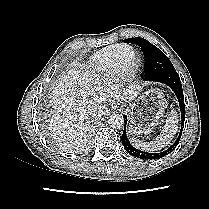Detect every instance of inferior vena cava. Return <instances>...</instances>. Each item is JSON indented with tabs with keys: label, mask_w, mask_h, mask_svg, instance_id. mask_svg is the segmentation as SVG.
<instances>
[{
	"label": "inferior vena cava",
	"mask_w": 209,
	"mask_h": 209,
	"mask_svg": "<svg viewBox=\"0 0 209 209\" xmlns=\"http://www.w3.org/2000/svg\"><path fill=\"white\" fill-rule=\"evenodd\" d=\"M95 116L96 117H101L102 116V109L101 108H96L94 110Z\"/></svg>",
	"instance_id": "inferior-vena-cava-1"
}]
</instances>
